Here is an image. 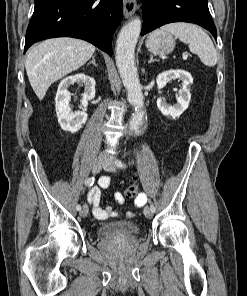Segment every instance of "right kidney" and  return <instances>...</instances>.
Returning a JSON list of instances; mask_svg holds the SVG:
<instances>
[{"instance_id": "1", "label": "right kidney", "mask_w": 247, "mask_h": 296, "mask_svg": "<svg viewBox=\"0 0 247 296\" xmlns=\"http://www.w3.org/2000/svg\"><path fill=\"white\" fill-rule=\"evenodd\" d=\"M74 83L84 84L85 86L81 100L82 111L77 112H73L69 105L71 93L68 91V87ZM94 97L95 80L84 73L68 76L60 82L55 97V104L58 122L64 131L75 133L82 128L87 121L88 101Z\"/></svg>"}]
</instances>
